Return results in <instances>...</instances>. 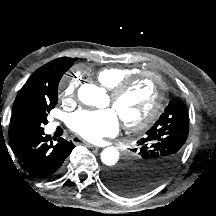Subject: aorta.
Segmentation results:
<instances>
[{
  "label": "aorta",
  "mask_w": 216,
  "mask_h": 216,
  "mask_svg": "<svg viewBox=\"0 0 216 216\" xmlns=\"http://www.w3.org/2000/svg\"><path fill=\"white\" fill-rule=\"evenodd\" d=\"M104 97V90L92 84H84L78 90L79 100L86 105L99 106ZM118 160L119 152L115 147H107L101 152V161L107 166L115 165Z\"/></svg>",
  "instance_id": "aorta-1"
}]
</instances>
